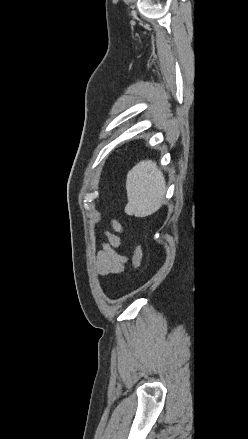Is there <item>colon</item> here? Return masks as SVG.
Segmentation results:
<instances>
[{
  "instance_id": "obj_1",
  "label": "colon",
  "mask_w": 248,
  "mask_h": 439,
  "mask_svg": "<svg viewBox=\"0 0 248 439\" xmlns=\"http://www.w3.org/2000/svg\"><path fill=\"white\" fill-rule=\"evenodd\" d=\"M142 248L138 243L134 244V254H133V266L134 269L137 271L141 266L142 261Z\"/></svg>"
}]
</instances>
